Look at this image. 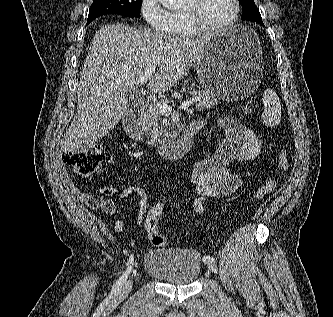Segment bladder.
I'll return each instance as SVG.
<instances>
[{"mask_svg":"<svg viewBox=\"0 0 333 317\" xmlns=\"http://www.w3.org/2000/svg\"><path fill=\"white\" fill-rule=\"evenodd\" d=\"M146 273L174 285L194 283L202 271L200 254L190 248H151L144 255Z\"/></svg>","mask_w":333,"mask_h":317,"instance_id":"1","label":"bladder"}]
</instances>
